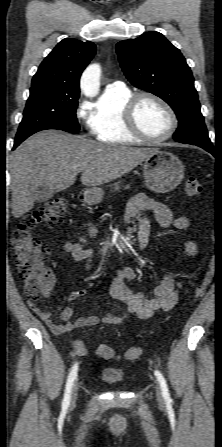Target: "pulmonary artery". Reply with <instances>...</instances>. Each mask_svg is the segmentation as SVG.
Wrapping results in <instances>:
<instances>
[{
	"label": "pulmonary artery",
	"mask_w": 222,
	"mask_h": 447,
	"mask_svg": "<svg viewBox=\"0 0 222 447\" xmlns=\"http://www.w3.org/2000/svg\"><path fill=\"white\" fill-rule=\"evenodd\" d=\"M125 88H126L125 84L121 81H114L106 86V89L111 90H123Z\"/></svg>",
	"instance_id": "1"
}]
</instances>
